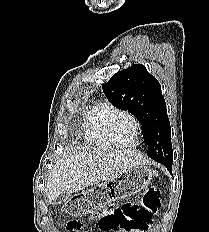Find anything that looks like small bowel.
<instances>
[{
    "mask_svg": "<svg viewBox=\"0 0 209 232\" xmlns=\"http://www.w3.org/2000/svg\"><path fill=\"white\" fill-rule=\"evenodd\" d=\"M148 226H143V227H139L137 229H140V230H145ZM113 229H116V228H113ZM113 229H102L104 231H110V230H113ZM123 229H129V228H123ZM131 229V228H130Z\"/></svg>",
    "mask_w": 209,
    "mask_h": 232,
    "instance_id": "small-bowel-1",
    "label": "small bowel"
}]
</instances>
